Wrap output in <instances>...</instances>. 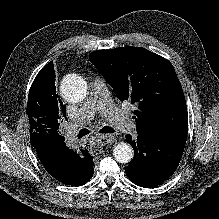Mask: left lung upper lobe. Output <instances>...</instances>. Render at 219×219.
<instances>
[{
    "instance_id": "5c2ea615",
    "label": "left lung upper lobe",
    "mask_w": 219,
    "mask_h": 219,
    "mask_svg": "<svg viewBox=\"0 0 219 219\" xmlns=\"http://www.w3.org/2000/svg\"><path fill=\"white\" fill-rule=\"evenodd\" d=\"M90 62L121 101L137 105V134L185 144L188 114L184 93L172 64L142 47L94 51Z\"/></svg>"
}]
</instances>
